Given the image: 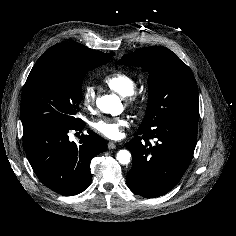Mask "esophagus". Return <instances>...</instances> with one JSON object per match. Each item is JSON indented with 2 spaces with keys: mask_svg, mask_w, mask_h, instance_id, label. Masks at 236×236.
Instances as JSON below:
<instances>
[{
  "mask_svg": "<svg viewBox=\"0 0 236 236\" xmlns=\"http://www.w3.org/2000/svg\"><path fill=\"white\" fill-rule=\"evenodd\" d=\"M108 148L109 149H115L116 148V144L114 142H108Z\"/></svg>",
  "mask_w": 236,
  "mask_h": 236,
  "instance_id": "obj_1",
  "label": "esophagus"
}]
</instances>
